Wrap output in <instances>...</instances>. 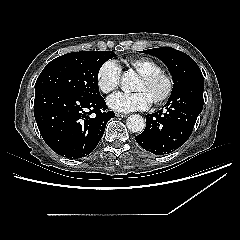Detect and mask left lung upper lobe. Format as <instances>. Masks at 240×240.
<instances>
[{"label":"left lung upper lobe","instance_id":"1","mask_svg":"<svg viewBox=\"0 0 240 240\" xmlns=\"http://www.w3.org/2000/svg\"><path fill=\"white\" fill-rule=\"evenodd\" d=\"M144 52L156 56L165 63L174 80L173 91L188 83L203 80V75L196 62L179 50L162 47L145 50Z\"/></svg>","mask_w":240,"mask_h":240}]
</instances>
